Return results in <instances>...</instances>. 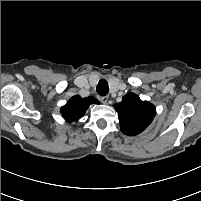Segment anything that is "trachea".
<instances>
[{
    "instance_id": "trachea-1",
    "label": "trachea",
    "mask_w": 201,
    "mask_h": 201,
    "mask_svg": "<svg viewBox=\"0 0 201 201\" xmlns=\"http://www.w3.org/2000/svg\"><path fill=\"white\" fill-rule=\"evenodd\" d=\"M97 93L101 96H105L109 92V86L106 80L101 79L96 87Z\"/></svg>"
}]
</instances>
